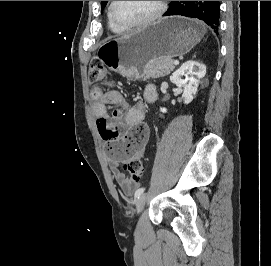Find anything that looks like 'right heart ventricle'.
Segmentation results:
<instances>
[{"instance_id":"obj_1","label":"right heart ventricle","mask_w":271,"mask_h":266,"mask_svg":"<svg viewBox=\"0 0 271 266\" xmlns=\"http://www.w3.org/2000/svg\"><path fill=\"white\" fill-rule=\"evenodd\" d=\"M107 22H108V26L110 28V30L116 34H120V33H123L125 31V29L117 26L110 18V15H109V6L107 8Z\"/></svg>"}]
</instances>
